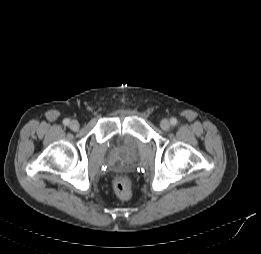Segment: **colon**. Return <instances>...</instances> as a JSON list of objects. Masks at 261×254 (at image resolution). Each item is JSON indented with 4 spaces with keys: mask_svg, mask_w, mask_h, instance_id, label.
<instances>
[{
    "mask_svg": "<svg viewBox=\"0 0 261 254\" xmlns=\"http://www.w3.org/2000/svg\"><path fill=\"white\" fill-rule=\"evenodd\" d=\"M113 190L119 198L129 199L132 193L130 178L126 175L116 176L113 180Z\"/></svg>",
    "mask_w": 261,
    "mask_h": 254,
    "instance_id": "1",
    "label": "colon"
}]
</instances>
